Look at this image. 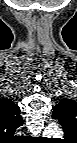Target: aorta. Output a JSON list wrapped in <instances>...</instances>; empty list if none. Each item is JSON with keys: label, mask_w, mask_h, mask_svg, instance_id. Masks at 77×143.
Returning <instances> with one entry per match:
<instances>
[{"label": "aorta", "mask_w": 77, "mask_h": 143, "mask_svg": "<svg viewBox=\"0 0 77 143\" xmlns=\"http://www.w3.org/2000/svg\"><path fill=\"white\" fill-rule=\"evenodd\" d=\"M61 128L56 123H51L49 126L45 129L44 134L46 135H58L61 133Z\"/></svg>", "instance_id": "aorta-1"}]
</instances>
